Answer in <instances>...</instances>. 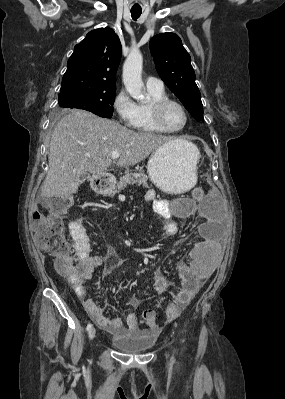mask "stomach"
Here are the masks:
<instances>
[{
	"label": "stomach",
	"instance_id": "1",
	"mask_svg": "<svg viewBox=\"0 0 285 399\" xmlns=\"http://www.w3.org/2000/svg\"><path fill=\"white\" fill-rule=\"evenodd\" d=\"M198 148L189 141H170L154 151L147 163L151 181L162 191L180 194L197 181Z\"/></svg>",
	"mask_w": 285,
	"mask_h": 399
}]
</instances>
